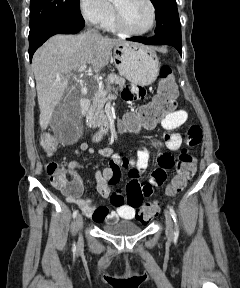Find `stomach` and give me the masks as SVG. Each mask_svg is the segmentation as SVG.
Wrapping results in <instances>:
<instances>
[{"instance_id":"0dacf381","label":"stomach","mask_w":240,"mask_h":288,"mask_svg":"<svg viewBox=\"0 0 240 288\" xmlns=\"http://www.w3.org/2000/svg\"><path fill=\"white\" fill-rule=\"evenodd\" d=\"M112 62L121 75L134 85L153 83L159 72V60L149 47L136 43H122L114 47Z\"/></svg>"}]
</instances>
